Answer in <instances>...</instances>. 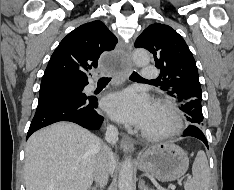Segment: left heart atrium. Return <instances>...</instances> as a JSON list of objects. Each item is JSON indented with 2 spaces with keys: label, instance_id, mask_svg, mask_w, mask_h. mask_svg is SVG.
I'll return each instance as SVG.
<instances>
[{
  "label": "left heart atrium",
  "instance_id": "39dd6f15",
  "mask_svg": "<svg viewBox=\"0 0 234 190\" xmlns=\"http://www.w3.org/2000/svg\"><path fill=\"white\" fill-rule=\"evenodd\" d=\"M104 108L114 120L138 128L147 125L154 109L150 98L134 89L108 95L104 100Z\"/></svg>",
  "mask_w": 234,
  "mask_h": 190
}]
</instances>
